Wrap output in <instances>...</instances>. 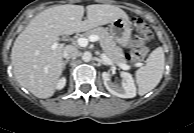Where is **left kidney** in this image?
Listing matches in <instances>:
<instances>
[{
  "label": "left kidney",
  "mask_w": 194,
  "mask_h": 133,
  "mask_svg": "<svg viewBox=\"0 0 194 133\" xmlns=\"http://www.w3.org/2000/svg\"><path fill=\"white\" fill-rule=\"evenodd\" d=\"M123 79L121 84H116L111 81V74L108 72L102 73V78L106 89L113 95L120 98H133L136 96V87L130 73L121 72Z\"/></svg>",
  "instance_id": "1"
}]
</instances>
